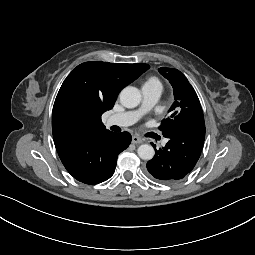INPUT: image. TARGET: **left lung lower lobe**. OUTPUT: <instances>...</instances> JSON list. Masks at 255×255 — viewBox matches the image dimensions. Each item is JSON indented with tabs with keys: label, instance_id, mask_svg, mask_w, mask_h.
Returning a JSON list of instances; mask_svg holds the SVG:
<instances>
[{
	"label": "left lung lower lobe",
	"instance_id": "0a47b994",
	"mask_svg": "<svg viewBox=\"0 0 255 255\" xmlns=\"http://www.w3.org/2000/svg\"><path fill=\"white\" fill-rule=\"evenodd\" d=\"M169 141L147 163L151 177L162 183H174L187 176L196 165L205 139L204 117H198L171 129Z\"/></svg>",
	"mask_w": 255,
	"mask_h": 255
}]
</instances>
